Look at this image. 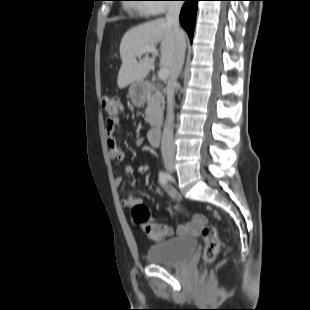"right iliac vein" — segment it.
Listing matches in <instances>:
<instances>
[{
    "label": "right iliac vein",
    "mask_w": 310,
    "mask_h": 310,
    "mask_svg": "<svg viewBox=\"0 0 310 310\" xmlns=\"http://www.w3.org/2000/svg\"><path fill=\"white\" fill-rule=\"evenodd\" d=\"M163 161H164V165H165L166 169H167L169 172H173V171H174V162H173V158H171V157H165Z\"/></svg>",
    "instance_id": "obj_1"
}]
</instances>
